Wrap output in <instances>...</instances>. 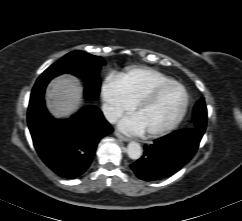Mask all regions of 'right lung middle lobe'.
Here are the masks:
<instances>
[{"instance_id":"right-lung-middle-lobe-1","label":"right lung middle lobe","mask_w":242,"mask_h":221,"mask_svg":"<svg viewBox=\"0 0 242 221\" xmlns=\"http://www.w3.org/2000/svg\"><path fill=\"white\" fill-rule=\"evenodd\" d=\"M105 61L83 51H73L46 69L37 79L32 94L44 91L48 82L63 73H70L86 81L85 95L97 98L100 92L99 71Z\"/></svg>"}]
</instances>
